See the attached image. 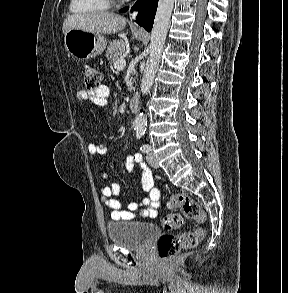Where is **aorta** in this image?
<instances>
[{
    "mask_svg": "<svg viewBox=\"0 0 288 293\" xmlns=\"http://www.w3.org/2000/svg\"><path fill=\"white\" fill-rule=\"evenodd\" d=\"M173 6L174 0H159L158 2L151 32V43L149 46L150 54L140 85L142 95H146L153 84L170 25ZM146 125V116L143 112H140L139 115L136 116L133 126L138 131H144Z\"/></svg>",
    "mask_w": 288,
    "mask_h": 293,
    "instance_id": "aorta-1",
    "label": "aorta"
}]
</instances>
